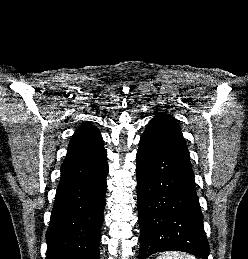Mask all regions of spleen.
Here are the masks:
<instances>
[{
  "label": "spleen",
  "instance_id": "spleen-1",
  "mask_svg": "<svg viewBox=\"0 0 248 259\" xmlns=\"http://www.w3.org/2000/svg\"><path fill=\"white\" fill-rule=\"evenodd\" d=\"M156 259H196L193 255L187 254L185 252H164L161 253Z\"/></svg>",
  "mask_w": 248,
  "mask_h": 259
}]
</instances>
